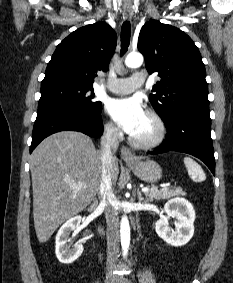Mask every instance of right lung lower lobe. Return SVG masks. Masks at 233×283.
Returning a JSON list of instances; mask_svg holds the SVG:
<instances>
[{
    "label": "right lung lower lobe",
    "mask_w": 233,
    "mask_h": 283,
    "mask_svg": "<svg viewBox=\"0 0 233 283\" xmlns=\"http://www.w3.org/2000/svg\"><path fill=\"white\" fill-rule=\"evenodd\" d=\"M101 110L85 112L64 106H47L38 109L32 133L30 153L47 136L59 131H79L92 137L103 132Z\"/></svg>",
    "instance_id": "98d812e1"
}]
</instances>
